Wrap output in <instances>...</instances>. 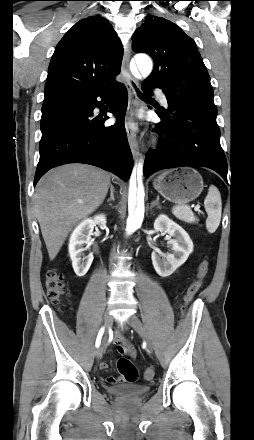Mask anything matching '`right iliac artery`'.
Masks as SVG:
<instances>
[{
    "instance_id": "obj_1",
    "label": "right iliac artery",
    "mask_w": 254,
    "mask_h": 440,
    "mask_svg": "<svg viewBox=\"0 0 254 440\" xmlns=\"http://www.w3.org/2000/svg\"><path fill=\"white\" fill-rule=\"evenodd\" d=\"M103 333H104V328L102 327V328L99 330L98 335H97V339H96V344H95V345H96L97 348L100 346L101 338H102V336H103Z\"/></svg>"
}]
</instances>
